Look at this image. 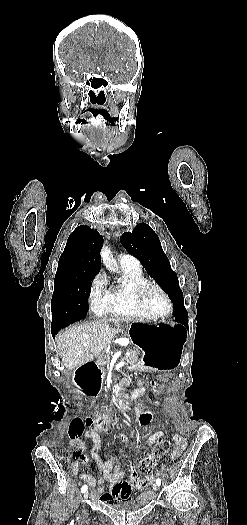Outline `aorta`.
I'll return each mask as SVG.
<instances>
[{
  "label": "aorta",
  "mask_w": 247,
  "mask_h": 525,
  "mask_svg": "<svg viewBox=\"0 0 247 525\" xmlns=\"http://www.w3.org/2000/svg\"><path fill=\"white\" fill-rule=\"evenodd\" d=\"M101 260L102 262L104 263V265L110 270L112 271L113 270V267H112V258H111V255H110V251L107 247H104L102 252H101ZM114 271V270H113Z\"/></svg>",
  "instance_id": "762f6f07"
}]
</instances>
